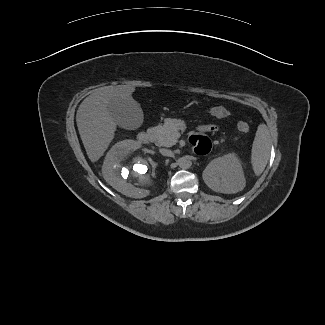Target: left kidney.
Wrapping results in <instances>:
<instances>
[{"label":"left kidney","mask_w":325,"mask_h":325,"mask_svg":"<svg viewBox=\"0 0 325 325\" xmlns=\"http://www.w3.org/2000/svg\"><path fill=\"white\" fill-rule=\"evenodd\" d=\"M203 180L213 191L237 193L245 187L241 163L234 153L212 160L203 171Z\"/></svg>","instance_id":"5707ae66"}]
</instances>
